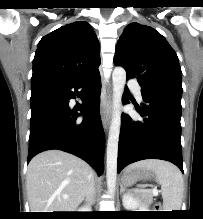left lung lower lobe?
Returning a JSON list of instances; mask_svg holds the SVG:
<instances>
[{
  "label": "left lung lower lobe",
  "mask_w": 203,
  "mask_h": 219,
  "mask_svg": "<svg viewBox=\"0 0 203 219\" xmlns=\"http://www.w3.org/2000/svg\"><path fill=\"white\" fill-rule=\"evenodd\" d=\"M142 107L135 105L143 120L122 114L117 172L144 159L172 162L183 172L181 148V95L141 90ZM130 103L124 92L123 104Z\"/></svg>",
  "instance_id": "left-lung-lower-lobe-1"
}]
</instances>
